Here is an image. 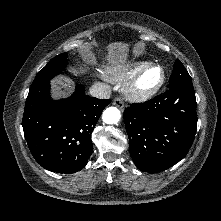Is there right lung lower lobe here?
Segmentation results:
<instances>
[{
	"instance_id": "1",
	"label": "right lung lower lobe",
	"mask_w": 221,
	"mask_h": 221,
	"mask_svg": "<svg viewBox=\"0 0 221 221\" xmlns=\"http://www.w3.org/2000/svg\"><path fill=\"white\" fill-rule=\"evenodd\" d=\"M54 76L31 86L22 126L29 149L42 167L75 173L93 152L91 134L110 99L89 97L84 87L77 85L70 98L53 100L50 80Z\"/></svg>"
}]
</instances>
